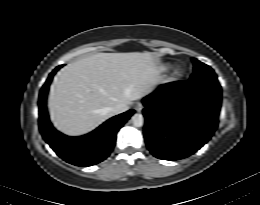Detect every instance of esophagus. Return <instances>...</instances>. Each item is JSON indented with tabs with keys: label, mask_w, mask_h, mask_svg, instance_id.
<instances>
[{
	"label": "esophagus",
	"mask_w": 260,
	"mask_h": 205,
	"mask_svg": "<svg viewBox=\"0 0 260 205\" xmlns=\"http://www.w3.org/2000/svg\"><path fill=\"white\" fill-rule=\"evenodd\" d=\"M143 109V104L141 102H138L136 105H135V110L137 112H141Z\"/></svg>",
	"instance_id": "34e87169"
}]
</instances>
